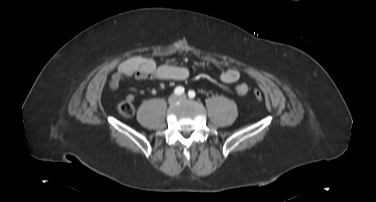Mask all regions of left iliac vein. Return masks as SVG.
I'll return each instance as SVG.
<instances>
[{
    "instance_id": "left-iliac-vein-1",
    "label": "left iliac vein",
    "mask_w": 376,
    "mask_h": 202,
    "mask_svg": "<svg viewBox=\"0 0 376 202\" xmlns=\"http://www.w3.org/2000/svg\"><path fill=\"white\" fill-rule=\"evenodd\" d=\"M179 99H180V100H185V99H186V95H181V96H179Z\"/></svg>"
}]
</instances>
